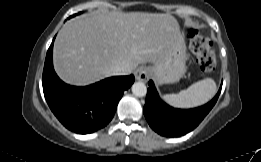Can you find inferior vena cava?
<instances>
[{
  "label": "inferior vena cava",
  "instance_id": "1",
  "mask_svg": "<svg viewBox=\"0 0 261 162\" xmlns=\"http://www.w3.org/2000/svg\"><path fill=\"white\" fill-rule=\"evenodd\" d=\"M112 72L113 75H129L132 72V69L126 66L118 65L113 67Z\"/></svg>",
  "mask_w": 261,
  "mask_h": 162
}]
</instances>
